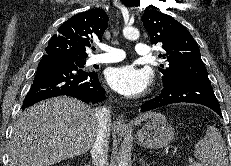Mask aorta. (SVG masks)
I'll return each mask as SVG.
<instances>
[{
    "label": "aorta",
    "mask_w": 231,
    "mask_h": 166,
    "mask_svg": "<svg viewBox=\"0 0 231 166\" xmlns=\"http://www.w3.org/2000/svg\"><path fill=\"white\" fill-rule=\"evenodd\" d=\"M123 35L128 40H137L140 36V33L138 29L134 27L125 26V28L123 29ZM118 166H128L124 155L123 156L121 155L119 162H118Z\"/></svg>",
    "instance_id": "aorta-1"
}]
</instances>
